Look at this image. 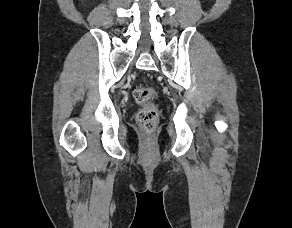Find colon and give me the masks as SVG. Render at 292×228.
<instances>
[{"instance_id": "5ec220e1", "label": "colon", "mask_w": 292, "mask_h": 228, "mask_svg": "<svg viewBox=\"0 0 292 228\" xmlns=\"http://www.w3.org/2000/svg\"><path fill=\"white\" fill-rule=\"evenodd\" d=\"M133 96L138 104L142 106L137 114V121L148 134L152 133L159 119V112L153 101L156 98V92L150 87H139L134 90Z\"/></svg>"}]
</instances>
